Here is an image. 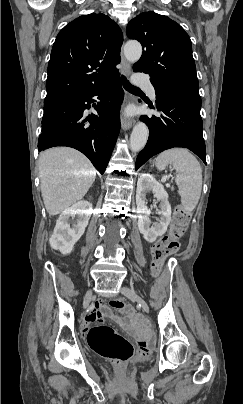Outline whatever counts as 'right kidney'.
Returning a JSON list of instances; mask_svg holds the SVG:
<instances>
[{
  "mask_svg": "<svg viewBox=\"0 0 243 404\" xmlns=\"http://www.w3.org/2000/svg\"><path fill=\"white\" fill-rule=\"evenodd\" d=\"M87 208L88 202H77L62 212L56 222L53 236L49 240L52 250H59L61 254L72 252L74 244L80 240L88 226L90 214ZM69 218L75 220L72 228H70Z\"/></svg>",
  "mask_w": 243,
  "mask_h": 404,
  "instance_id": "ca27d5eb",
  "label": "right kidney"
}]
</instances>
